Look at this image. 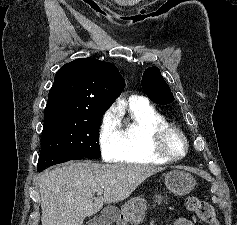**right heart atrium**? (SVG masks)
<instances>
[{
	"label": "right heart atrium",
	"mask_w": 237,
	"mask_h": 225,
	"mask_svg": "<svg viewBox=\"0 0 237 225\" xmlns=\"http://www.w3.org/2000/svg\"><path fill=\"white\" fill-rule=\"evenodd\" d=\"M98 144L101 156L105 161L115 162L118 160L122 149L121 131L118 122L109 112L105 113L100 120Z\"/></svg>",
	"instance_id": "right-heart-atrium-1"
}]
</instances>
